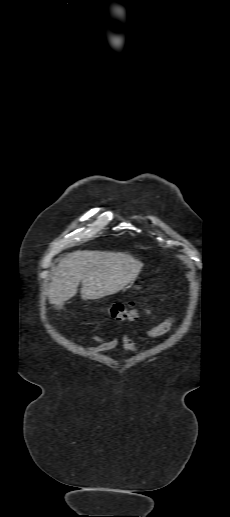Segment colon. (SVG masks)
<instances>
[{"label": "colon", "instance_id": "5ec220e1", "mask_svg": "<svg viewBox=\"0 0 230 517\" xmlns=\"http://www.w3.org/2000/svg\"><path fill=\"white\" fill-rule=\"evenodd\" d=\"M108 313L110 317L116 320H134L138 317V310L132 302L114 303L109 307Z\"/></svg>", "mask_w": 230, "mask_h": 517}]
</instances>
